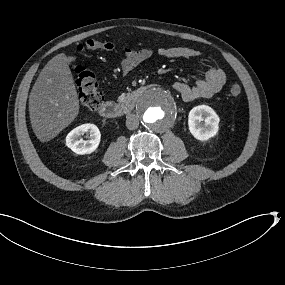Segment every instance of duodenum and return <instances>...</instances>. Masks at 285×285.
Wrapping results in <instances>:
<instances>
[{"label":"duodenum","mask_w":285,"mask_h":285,"mask_svg":"<svg viewBox=\"0 0 285 285\" xmlns=\"http://www.w3.org/2000/svg\"><path fill=\"white\" fill-rule=\"evenodd\" d=\"M146 89V86L139 87L127 94L124 99L119 102H105L100 107L99 114L106 119H116L130 113L134 109L136 102Z\"/></svg>","instance_id":"410a0bca"}]
</instances>
